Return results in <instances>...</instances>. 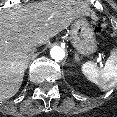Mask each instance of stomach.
<instances>
[{
  "label": "stomach",
  "mask_w": 117,
  "mask_h": 117,
  "mask_svg": "<svg viewBox=\"0 0 117 117\" xmlns=\"http://www.w3.org/2000/svg\"><path fill=\"white\" fill-rule=\"evenodd\" d=\"M70 40L75 50L82 55H90L96 51L94 31L84 18H78L72 23Z\"/></svg>",
  "instance_id": "1"
}]
</instances>
